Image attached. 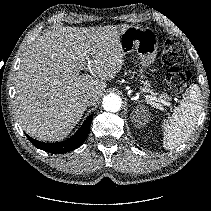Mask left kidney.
Wrapping results in <instances>:
<instances>
[{"label":"left kidney","instance_id":"obj_1","mask_svg":"<svg viewBox=\"0 0 211 211\" xmlns=\"http://www.w3.org/2000/svg\"><path fill=\"white\" fill-rule=\"evenodd\" d=\"M143 113H144V111H143ZM142 119H143L144 123H142L141 121H139V124H140V125H144L145 122L148 121V116H147L146 112H145L144 115H142Z\"/></svg>","mask_w":211,"mask_h":211}]
</instances>
